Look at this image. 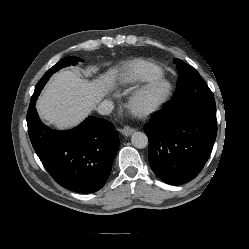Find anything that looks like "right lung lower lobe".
<instances>
[{"mask_svg": "<svg viewBox=\"0 0 249 249\" xmlns=\"http://www.w3.org/2000/svg\"><path fill=\"white\" fill-rule=\"evenodd\" d=\"M34 91L27 113L28 134L35 152L53 179L69 190L92 193L101 189L112 168L119 136L112 123L88 117L72 130L54 131L39 119Z\"/></svg>", "mask_w": 249, "mask_h": 249, "instance_id": "obj_1", "label": "right lung lower lobe"}]
</instances>
